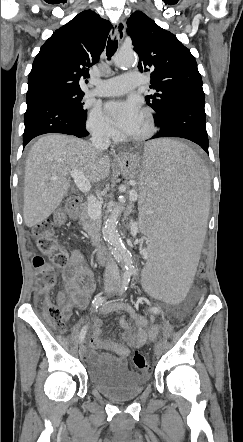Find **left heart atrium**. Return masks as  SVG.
Here are the masks:
<instances>
[{
    "mask_svg": "<svg viewBox=\"0 0 243 442\" xmlns=\"http://www.w3.org/2000/svg\"><path fill=\"white\" fill-rule=\"evenodd\" d=\"M105 113L112 124L121 132L129 134L141 117L142 111L135 100L110 101Z\"/></svg>",
    "mask_w": 243,
    "mask_h": 442,
    "instance_id": "39dd6f15",
    "label": "left heart atrium"
}]
</instances>
